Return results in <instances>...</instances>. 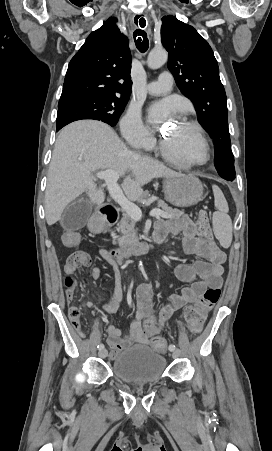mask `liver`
<instances>
[{"label":"liver","instance_id":"1","mask_svg":"<svg viewBox=\"0 0 272 451\" xmlns=\"http://www.w3.org/2000/svg\"><path fill=\"white\" fill-rule=\"evenodd\" d=\"M97 170H115L123 176L121 186L129 200H139L143 196L142 186L153 178L183 176L161 162L130 152L116 132L103 122H73L60 132L48 170L45 192L48 226L61 220L66 206L83 192L88 194L91 204H103L104 192L97 188L92 176Z\"/></svg>","mask_w":272,"mask_h":451}]
</instances>
